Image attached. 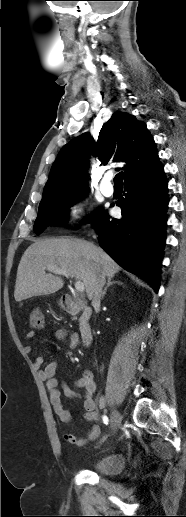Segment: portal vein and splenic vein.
<instances>
[{
	"instance_id": "portal-vein-and-splenic-vein-1",
	"label": "portal vein and splenic vein",
	"mask_w": 186,
	"mask_h": 517,
	"mask_svg": "<svg viewBox=\"0 0 186 517\" xmlns=\"http://www.w3.org/2000/svg\"><path fill=\"white\" fill-rule=\"evenodd\" d=\"M46 270L51 271V272H54V273H56V274L64 275V276H66V277H69V276H70V277H73V276L71 275V273H69L68 271L63 270V269H60V268H58V267H56V266H48V267L46 268ZM75 289H76L78 292H83V291H84V289H85V288H84V284H83V282H81V281H76V282H75Z\"/></svg>"
}]
</instances>
